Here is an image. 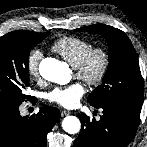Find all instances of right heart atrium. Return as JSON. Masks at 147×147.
<instances>
[{
	"label": "right heart atrium",
	"mask_w": 147,
	"mask_h": 147,
	"mask_svg": "<svg viewBox=\"0 0 147 147\" xmlns=\"http://www.w3.org/2000/svg\"><path fill=\"white\" fill-rule=\"evenodd\" d=\"M42 59V52L38 49H33L29 52L26 61V69L28 75L32 79H38L40 77L39 65Z\"/></svg>",
	"instance_id": "1"
}]
</instances>
